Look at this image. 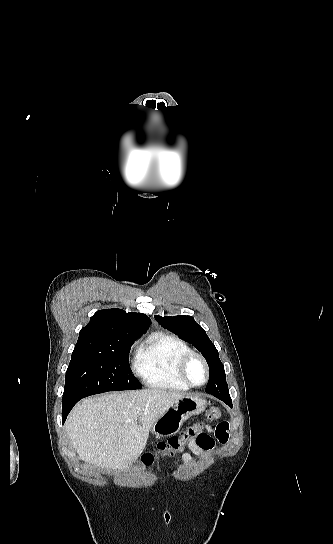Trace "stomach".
<instances>
[{
  "mask_svg": "<svg viewBox=\"0 0 333 544\" xmlns=\"http://www.w3.org/2000/svg\"><path fill=\"white\" fill-rule=\"evenodd\" d=\"M207 406L206 400L195 396H186L175 403L155 422L151 433L157 438L176 434L182 424L190 417L200 414Z\"/></svg>",
  "mask_w": 333,
  "mask_h": 544,
  "instance_id": "0dacf381",
  "label": "stomach"
}]
</instances>
